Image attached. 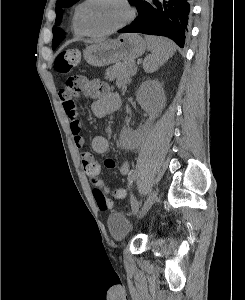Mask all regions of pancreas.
Here are the masks:
<instances>
[{"label": "pancreas", "mask_w": 245, "mask_h": 300, "mask_svg": "<svg viewBox=\"0 0 245 300\" xmlns=\"http://www.w3.org/2000/svg\"><path fill=\"white\" fill-rule=\"evenodd\" d=\"M137 68L133 61H123L109 67L105 73V79L113 81L116 79V85L123 91L131 82V77L136 73Z\"/></svg>", "instance_id": "pancreas-1"}]
</instances>
